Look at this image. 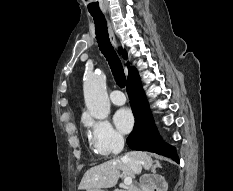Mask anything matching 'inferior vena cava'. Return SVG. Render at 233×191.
Returning <instances> with one entry per match:
<instances>
[{
    "label": "inferior vena cava",
    "mask_w": 233,
    "mask_h": 191,
    "mask_svg": "<svg viewBox=\"0 0 233 191\" xmlns=\"http://www.w3.org/2000/svg\"><path fill=\"white\" fill-rule=\"evenodd\" d=\"M124 148V139L123 138H120L115 146H114V154H118L120 153ZM124 162H126L129 167L132 169V171L135 173V174H140L141 171H142V165H141V162L134 158V157H130L128 159H126Z\"/></svg>",
    "instance_id": "inferior-vena-cava-1"
}]
</instances>
